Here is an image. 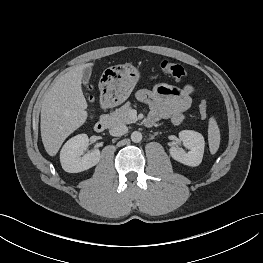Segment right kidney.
<instances>
[{
    "instance_id": "ca27d5eb",
    "label": "right kidney",
    "mask_w": 263,
    "mask_h": 263,
    "mask_svg": "<svg viewBox=\"0 0 263 263\" xmlns=\"http://www.w3.org/2000/svg\"><path fill=\"white\" fill-rule=\"evenodd\" d=\"M88 145L89 138L86 134L76 135L65 143L60 152V162L66 172H82L99 163L100 151L98 149L81 156Z\"/></svg>"
}]
</instances>
